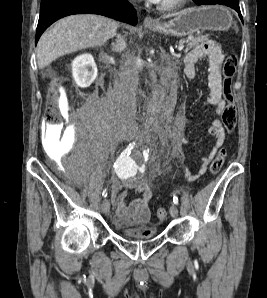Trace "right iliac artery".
<instances>
[{
	"label": "right iliac artery",
	"mask_w": 267,
	"mask_h": 298,
	"mask_svg": "<svg viewBox=\"0 0 267 298\" xmlns=\"http://www.w3.org/2000/svg\"><path fill=\"white\" fill-rule=\"evenodd\" d=\"M135 143H130L126 148L125 150L121 153V155L118 157V160H117V163H115V165L117 164L120 165V164H123L124 162L128 161L129 160V155L131 153V150L133 149ZM102 196L103 197H106L107 196V192L106 190H104L102 192Z\"/></svg>",
	"instance_id": "82829eb1"
}]
</instances>
